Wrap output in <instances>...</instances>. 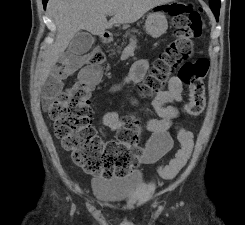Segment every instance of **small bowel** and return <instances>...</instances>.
<instances>
[{
	"mask_svg": "<svg viewBox=\"0 0 245 225\" xmlns=\"http://www.w3.org/2000/svg\"><path fill=\"white\" fill-rule=\"evenodd\" d=\"M149 65V59L136 61L122 80L109 88V92L116 94L126 85L140 82L144 78ZM86 72L90 73L88 84L95 87L101 75V67L92 65ZM183 93V82L179 76L173 75L169 80L168 90L158 93L153 100L152 107L156 117L145 119L142 122L150 136L144 145L142 154L134 156V160L138 165H151L165 156L173 146V133L176 134L180 144L182 143L181 136L183 134L186 133L192 137L190 132L175 125V121L180 115L176 104L182 101ZM47 105L48 103L45 104V108H47ZM103 124L107 129L117 132L125 125V120L116 112L108 111L103 116Z\"/></svg>",
	"mask_w": 245,
	"mask_h": 225,
	"instance_id": "1",
	"label": "small bowel"
}]
</instances>
